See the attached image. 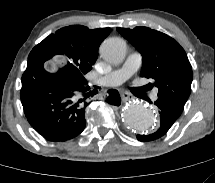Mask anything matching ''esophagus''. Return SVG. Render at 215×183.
Masks as SVG:
<instances>
[{
  "label": "esophagus",
  "instance_id": "34e87169",
  "mask_svg": "<svg viewBox=\"0 0 215 183\" xmlns=\"http://www.w3.org/2000/svg\"><path fill=\"white\" fill-rule=\"evenodd\" d=\"M129 100H131V96L128 93H126V92L122 93V101L123 102H127Z\"/></svg>",
  "mask_w": 215,
  "mask_h": 183
}]
</instances>
